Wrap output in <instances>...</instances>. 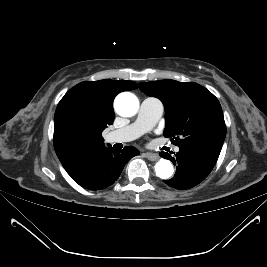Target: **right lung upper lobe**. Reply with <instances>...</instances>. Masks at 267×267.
<instances>
[{"mask_svg": "<svg viewBox=\"0 0 267 267\" xmlns=\"http://www.w3.org/2000/svg\"><path fill=\"white\" fill-rule=\"evenodd\" d=\"M128 80L81 82L59 102L54 116L53 144L62 165L81 152L104 144L102 131L115 115L113 100L122 92L136 89Z\"/></svg>", "mask_w": 267, "mask_h": 267, "instance_id": "right-lung-upper-lobe-1", "label": "right lung upper lobe"}]
</instances>
